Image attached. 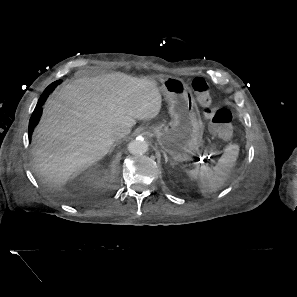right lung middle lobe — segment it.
<instances>
[{
  "mask_svg": "<svg viewBox=\"0 0 297 297\" xmlns=\"http://www.w3.org/2000/svg\"><path fill=\"white\" fill-rule=\"evenodd\" d=\"M61 83V80H58V81H56V82H53L52 84H50L49 86H48V88H50V89H54L58 84H60Z\"/></svg>",
  "mask_w": 297,
  "mask_h": 297,
  "instance_id": "1",
  "label": "right lung middle lobe"
}]
</instances>
